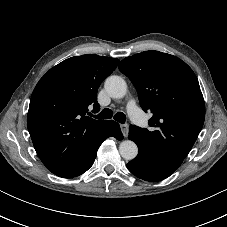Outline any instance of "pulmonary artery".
I'll return each mask as SVG.
<instances>
[{
	"mask_svg": "<svg viewBox=\"0 0 227 227\" xmlns=\"http://www.w3.org/2000/svg\"><path fill=\"white\" fill-rule=\"evenodd\" d=\"M127 110L130 117L137 123H141V116L139 109L134 100H130L127 104Z\"/></svg>",
	"mask_w": 227,
	"mask_h": 227,
	"instance_id": "obj_1",
	"label": "pulmonary artery"
}]
</instances>
